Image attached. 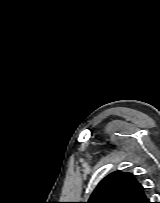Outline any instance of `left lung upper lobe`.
<instances>
[{
	"mask_svg": "<svg viewBox=\"0 0 160 203\" xmlns=\"http://www.w3.org/2000/svg\"><path fill=\"white\" fill-rule=\"evenodd\" d=\"M87 203H150V200L131 173L117 171L98 184Z\"/></svg>",
	"mask_w": 160,
	"mask_h": 203,
	"instance_id": "left-lung-upper-lobe-1",
	"label": "left lung upper lobe"
}]
</instances>
